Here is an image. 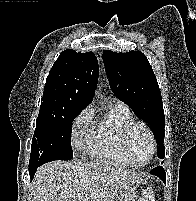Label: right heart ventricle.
<instances>
[{
    "mask_svg": "<svg viewBox=\"0 0 196 201\" xmlns=\"http://www.w3.org/2000/svg\"><path fill=\"white\" fill-rule=\"evenodd\" d=\"M133 121L134 117L127 107H111L102 120L92 125L87 145L91 157L101 162L128 166L122 146V135L125 127Z\"/></svg>",
    "mask_w": 196,
    "mask_h": 201,
    "instance_id": "obj_1",
    "label": "right heart ventricle"
}]
</instances>
